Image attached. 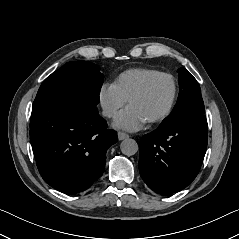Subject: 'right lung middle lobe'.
Here are the masks:
<instances>
[{
  "mask_svg": "<svg viewBox=\"0 0 239 239\" xmlns=\"http://www.w3.org/2000/svg\"><path fill=\"white\" fill-rule=\"evenodd\" d=\"M103 74L91 62L73 61L53 72L40 86L32 107V115L50 103L68 97L99 103Z\"/></svg>",
  "mask_w": 239,
  "mask_h": 239,
  "instance_id": "obj_1",
  "label": "right lung middle lobe"
}]
</instances>
